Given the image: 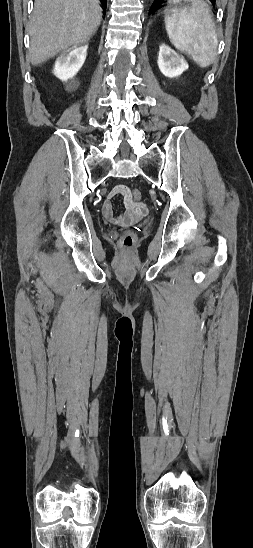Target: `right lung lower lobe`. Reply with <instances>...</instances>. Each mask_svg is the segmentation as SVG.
I'll use <instances>...</instances> for the list:
<instances>
[{"label":"right lung lower lobe","instance_id":"right-lung-lower-lobe-1","mask_svg":"<svg viewBox=\"0 0 253 548\" xmlns=\"http://www.w3.org/2000/svg\"><path fill=\"white\" fill-rule=\"evenodd\" d=\"M101 2L103 3V7H104V9H106V5H107V0H101Z\"/></svg>","mask_w":253,"mask_h":548}]
</instances>
